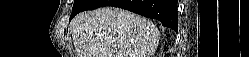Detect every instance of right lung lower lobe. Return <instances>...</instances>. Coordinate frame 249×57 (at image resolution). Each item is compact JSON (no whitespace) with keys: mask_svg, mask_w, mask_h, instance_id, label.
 Returning a JSON list of instances; mask_svg holds the SVG:
<instances>
[{"mask_svg":"<svg viewBox=\"0 0 249 57\" xmlns=\"http://www.w3.org/2000/svg\"><path fill=\"white\" fill-rule=\"evenodd\" d=\"M177 0H91L88 7L78 10L71 15V18L84 10H93L104 6L123 8L142 16L157 19L165 27L177 31L178 12Z\"/></svg>","mask_w":249,"mask_h":57,"instance_id":"1","label":"right lung lower lobe"}]
</instances>
